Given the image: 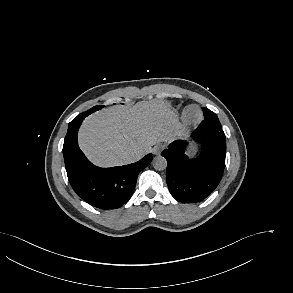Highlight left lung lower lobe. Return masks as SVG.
I'll return each instance as SVG.
<instances>
[{"mask_svg": "<svg viewBox=\"0 0 293 293\" xmlns=\"http://www.w3.org/2000/svg\"><path fill=\"white\" fill-rule=\"evenodd\" d=\"M192 137L202 144L196 159L185 154L186 142L176 140L161 155L167 160L166 181L172 196L183 203L199 202L218 186L225 167L226 138L223 130L214 132L200 124Z\"/></svg>", "mask_w": 293, "mask_h": 293, "instance_id": "1", "label": "left lung lower lobe"}]
</instances>
